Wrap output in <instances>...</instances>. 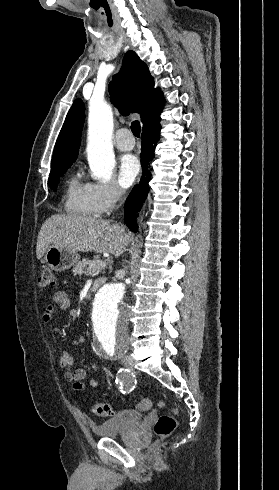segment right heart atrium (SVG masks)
I'll use <instances>...</instances> for the list:
<instances>
[{"label": "right heart atrium", "instance_id": "d8ad5b80", "mask_svg": "<svg viewBox=\"0 0 279 490\" xmlns=\"http://www.w3.org/2000/svg\"><path fill=\"white\" fill-rule=\"evenodd\" d=\"M91 208L96 216H104L121 199L124 190L115 181L86 184Z\"/></svg>", "mask_w": 279, "mask_h": 490}]
</instances>
